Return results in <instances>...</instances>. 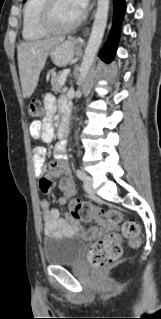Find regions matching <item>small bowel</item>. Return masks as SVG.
I'll return each instance as SVG.
<instances>
[{
    "label": "small bowel",
    "instance_id": "c3829d8e",
    "mask_svg": "<svg viewBox=\"0 0 161 319\" xmlns=\"http://www.w3.org/2000/svg\"><path fill=\"white\" fill-rule=\"evenodd\" d=\"M59 105L61 112L67 116L69 113V106L66 98L62 97L57 101L55 96L48 94L44 98V108L46 116L42 121L32 122L29 130L31 139L42 141L43 143H51L54 139V128L52 123V116L57 111ZM65 148L60 146L57 148V161L50 164L49 170L53 175H61L68 173V156L64 153ZM34 169L37 174H41L45 162V150L40 146L34 147ZM76 189L74 186L65 189V193L58 199L60 205H65L73 197ZM40 210L44 222V233L46 236H55L58 234H72L82 229L77 221L70 217L62 218L57 209L52 208L49 200L43 198L40 203ZM101 228L88 231L86 234L89 237H96L101 235L104 231L109 229L107 223L102 220L100 222Z\"/></svg>",
    "mask_w": 161,
    "mask_h": 319
}]
</instances>
